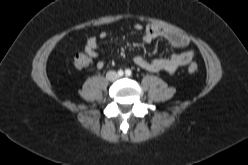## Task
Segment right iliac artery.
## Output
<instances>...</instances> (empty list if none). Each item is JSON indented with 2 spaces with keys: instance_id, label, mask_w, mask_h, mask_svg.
Returning a JSON list of instances; mask_svg holds the SVG:
<instances>
[{
  "instance_id": "obj_1",
  "label": "right iliac artery",
  "mask_w": 248,
  "mask_h": 165,
  "mask_svg": "<svg viewBox=\"0 0 248 165\" xmlns=\"http://www.w3.org/2000/svg\"><path fill=\"white\" fill-rule=\"evenodd\" d=\"M123 74H124L123 70H119V71H118V75H119V76H123Z\"/></svg>"
}]
</instances>
